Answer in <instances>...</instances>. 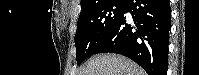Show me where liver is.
Here are the masks:
<instances>
[{
	"label": "liver",
	"mask_w": 199,
	"mask_h": 75,
	"mask_svg": "<svg viewBox=\"0 0 199 75\" xmlns=\"http://www.w3.org/2000/svg\"><path fill=\"white\" fill-rule=\"evenodd\" d=\"M77 75H146L130 59L116 54H100L92 57Z\"/></svg>",
	"instance_id": "obj_1"
}]
</instances>
